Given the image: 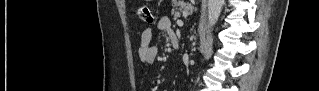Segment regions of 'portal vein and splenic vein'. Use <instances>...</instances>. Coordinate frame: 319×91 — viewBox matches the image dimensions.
Returning a JSON list of instances; mask_svg holds the SVG:
<instances>
[{
    "instance_id": "portal-vein-and-splenic-vein-1",
    "label": "portal vein and splenic vein",
    "mask_w": 319,
    "mask_h": 91,
    "mask_svg": "<svg viewBox=\"0 0 319 91\" xmlns=\"http://www.w3.org/2000/svg\"><path fill=\"white\" fill-rule=\"evenodd\" d=\"M177 25L181 27L183 26V22L181 20H177Z\"/></svg>"
}]
</instances>
